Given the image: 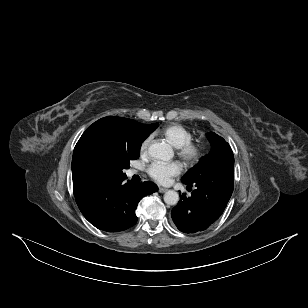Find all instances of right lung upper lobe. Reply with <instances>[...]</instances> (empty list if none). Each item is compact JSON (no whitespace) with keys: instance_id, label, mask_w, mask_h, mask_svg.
<instances>
[{"instance_id":"1","label":"right lung upper lobe","mask_w":308,"mask_h":308,"mask_svg":"<svg viewBox=\"0 0 308 308\" xmlns=\"http://www.w3.org/2000/svg\"><path fill=\"white\" fill-rule=\"evenodd\" d=\"M149 125L135 120L108 116L90 125L77 142L72 158L74 196L113 178L112 159L131 150L148 137Z\"/></svg>"}]
</instances>
